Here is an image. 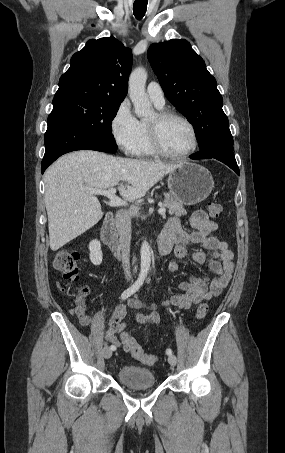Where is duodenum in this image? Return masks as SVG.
<instances>
[{"label":"duodenum","mask_w":285,"mask_h":453,"mask_svg":"<svg viewBox=\"0 0 285 453\" xmlns=\"http://www.w3.org/2000/svg\"><path fill=\"white\" fill-rule=\"evenodd\" d=\"M101 238L104 244L109 247L115 256L118 258L123 256V251L115 230V218L113 213H108L104 218L101 228ZM171 248L172 244L167 239L159 237L158 253L160 258L166 256L170 252Z\"/></svg>","instance_id":"duodenum-1"}]
</instances>
